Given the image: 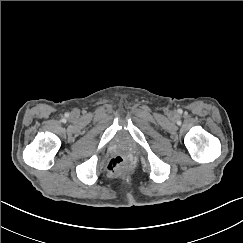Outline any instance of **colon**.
<instances>
[{
    "mask_svg": "<svg viewBox=\"0 0 243 243\" xmlns=\"http://www.w3.org/2000/svg\"><path fill=\"white\" fill-rule=\"evenodd\" d=\"M130 166L131 162L128 158L124 156H115L109 160L107 169L111 175H116L128 170Z\"/></svg>",
    "mask_w": 243,
    "mask_h": 243,
    "instance_id": "5ec220e1",
    "label": "colon"
}]
</instances>
